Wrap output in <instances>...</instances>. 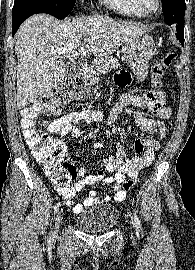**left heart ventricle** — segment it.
I'll return each instance as SVG.
<instances>
[{
    "label": "left heart ventricle",
    "instance_id": "b2bd125f",
    "mask_svg": "<svg viewBox=\"0 0 195 270\" xmlns=\"http://www.w3.org/2000/svg\"><path fill=\"white\" fill-rule=\"evenodd\" d=\"M144 3L149 8L153 6V0H144Z\"/></svg>",
    "mask_w": 195,
    "mask_h": 270
}]
</instances>
